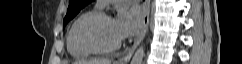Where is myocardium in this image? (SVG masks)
Returning <instances> with one entry per match:
<instances>
[{"instance_id": "f54148a6", "label": "myocardium", "mask_w": 242, "mask_h": 64, "mask_svg": "<svg viewBox=\"0 0 242 64\" xmlns=\"http://www.w3.org/2000/svg\"><path fill=\"white\" fill-rule=\"evenodd\" d=\"M112 18L109 14L99 12L86 17L77 27L75 37L80 47L93 54H109L117 50L121 46V40L110 46H103L94 41L89 32L96 25L105 19Z\"/></svg>"}]
</instances>
